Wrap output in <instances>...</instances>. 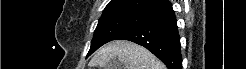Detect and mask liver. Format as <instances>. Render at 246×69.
<instances>
[{
	"mask_svg": "<svg viewBox=\"0 0 246 69\" xmlns=\"http://www.w3.org/2000/svg\"><path fill=\"white\" fill-rule=\"evenodd\" d=\"M93 62L106 67L114 62L121 69H165V66L150 51L129 41H112L99 49Z\"/></svg>",
	"mask_w": 246,
	"mask_h": 69,
	"instance_id": "1",
	"label": "liver"
}]
</instances>
